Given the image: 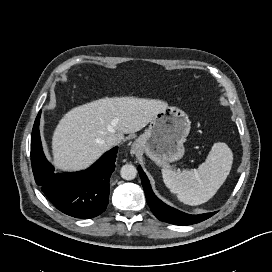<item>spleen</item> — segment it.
<instances>
[{
	"label": "spleen",
	"instance_id": "1",
	"mask_svg": "<svg viewBox=\"0 0 272 272\" xmlns=\"http://www.w3.org/2000/svg\"><path fill=\"white\" fill-rule=\"evenodd\" d=\"M233 155L225 143H215L206 161L198 169L172 171L162 169V177L169 190L184 204L200 205L211 199L231 170Z\"/></svg>",
	"mask_w": 272,
	"mask_h": 272
}]
</instances>
